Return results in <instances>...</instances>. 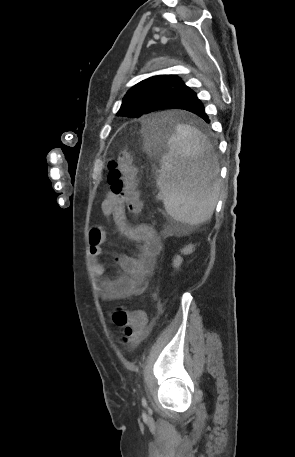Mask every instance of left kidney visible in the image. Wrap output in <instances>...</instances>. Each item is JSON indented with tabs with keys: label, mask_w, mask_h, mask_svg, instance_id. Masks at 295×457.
<instances>
[{
	"label": "left kidney",
	"mask_w": 295,
	"mask_h": 457,
	"mask_svg": "<svg viewBox=\"0 0 295 457\" xmlns=\"http://www.w3.org/2000/svg\"><path fill=\"white\" fill-rule=\"evenodd\" d=\"M193 250H194V245L189 244L181 250V253L187 255V254L192 253ZM182 261H183V259L180 256H176L173 261L174 267H179L181 265Z\"/></svg>",
	"instance_id": "left-kidney-1"
}]
</instances>
